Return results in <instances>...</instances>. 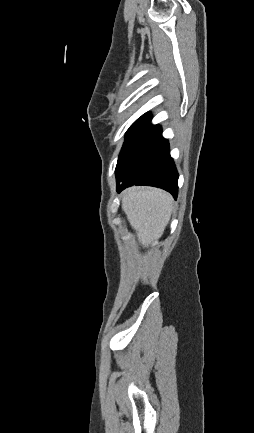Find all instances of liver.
<instances>
[{
	"mask_svg": "<svg viewBox=\"0 0 254 433\" xmlns=\"http://www.w3.org/2000/svg\"><path fill=\"white\" fill-rule=\"evenodd\" d=\"M173 199L155 188H131L124 192L122 209L143 247L154 244L163 234L172 213Z\"/></svg>",
	"mask_w": 254,
	"mask_h": 433,
	"instance_id": "obj_1",
	"label": "liver"
}]
</instances>
